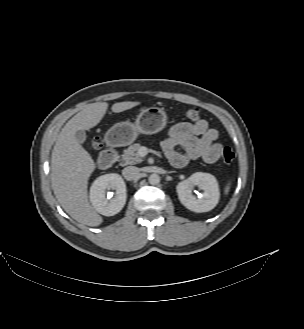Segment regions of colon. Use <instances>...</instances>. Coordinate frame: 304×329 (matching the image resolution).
Listing matches in <instances>:
<instances>
[{
    "instance_id": "1",
    "label": "colon",
    "mask_w": 304,
    "mask_h": 329,
    "mask_svg": "<svg viewBox=\"0 0 304 329\" xmlns=\"http://www.w3.org/2000/svg\"><path fill=\"white\" fill-rule=\"evenodd\" d=\"M184 116L189 120L196 121L199 119L200 113L198 109L191 108L184 112ZM90 145L94 149H98L100 147V140L98 138H92L90 140ZM222 158L224 163L231 164L235 158L234 151L230 147H224L222 150Z\"/></svg>"
}]
</instances>
